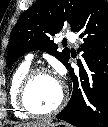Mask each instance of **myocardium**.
<instances>
[{
  "label": "myocardium",
  "mask_w": 108,
  "mask_h": 127,
  "mask_svg": "<svg viewBox=\"0 0 108 127\" xmlns=\"http://www.w3.org/2000/svg\"><path fill=\"white\" fill-rule=\"evenodd\" d=\"M40 74H52L51 70L46 67H36L30 69L22 79L18 89V104L23 112L30 116L44 117L56 114L66 104L68 90L64 84H61L62 91L58 103L51 109L45 112L34 109L29 103V90L34 79Z\"/></svg>",
  "instance_id": "1"
}]
</instances>
